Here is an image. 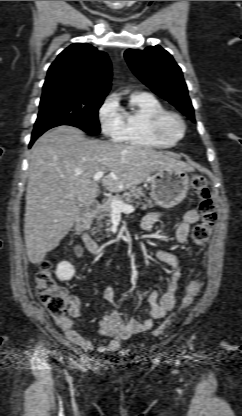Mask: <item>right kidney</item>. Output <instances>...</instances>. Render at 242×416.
Listing matches in <instances>:
<instances>
[{
	"label": "right kidney",
	"instance_id": "obj_1",
	"mask_svg": "<svg viewBox=\"0 0 242 416\" xmlns=\"http://www.w3.org/2000/svg\"><path fill=\"white\" fill-rule=\"evenodd\" d=\"M55 274L59 280L66 281L74 276L75 269L70 262L62 261L58 264Z\"/></svg>",
	"mask_w": 242,
	"mask_h": 416
}]
</instances>
